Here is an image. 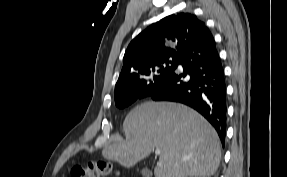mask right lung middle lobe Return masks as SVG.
<instances>
[{
    "mask_svg": "<svg viewBox=\"0 0 287 177\" xmlns=\"http://www.w3.org/2000/svg\"><path fill=\"white\" fill-rule=\"evenodd\" d=\"M178 61V59L161 60L146 70L143 77L135 85L115 87L116 106L125 108L135 102L146 90L173 72Z\"/></svg>",
    "mask_w": 287,
    "mask_h": 177,
    "instance_id": "dd1d6c3e",
    "label": "right lung middle lobe"
}]
</instances>
